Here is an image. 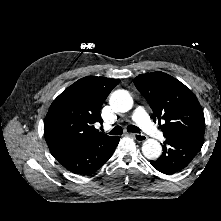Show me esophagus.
<instances>
[{
	"label": "esophagus",
	"mask_w": 221,
	"mask_h": 221,
	"mask_svg": "<svg viewBox=\"0 0 221 221\" xmlns=\"http://www.w3.org/2000/svg\"><path fill=\"white\" fill-rule=\"evenodd\" d=\"M130 136H132L139 143L144 142L147 139V137L143 134L131 133Z\"/></svg>",
	"instance_id": "34e87169"
}]
</instances>
